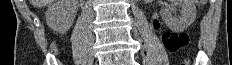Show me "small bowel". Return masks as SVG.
Returning a JSON list of instances; mask_svg holds the SVG:
<instances>
[{"instance_id": "obj_1", "label": "small bowel", "mask_w": 232, "mask_h": 65, "mask_svg": "<svg viewBox=\"0 0 232 65\" xmlns=\"http://www.w3.org/2000/svg\"><path fill=\"white\" fill-rule=\"evenodd\" d=\"M153 25H154V27H155L156 29L159 28V23H158V21H154Z\"/></svg>"}]
</instances>
